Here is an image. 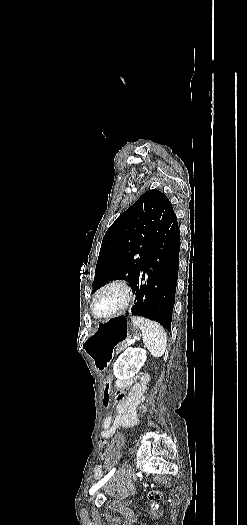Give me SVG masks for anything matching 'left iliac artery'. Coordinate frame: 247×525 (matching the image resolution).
Masks as SVG:
<instances>
[{
    "label": "left iliac artery",
    "instance_id": "left-iliac-artery-1",
    "mask_svg": "<svg viewBox=\"0 0 247 525\" xmlns=\"http://www.w3.org/2000/svg\"><path fill=\"white\" fill-rule=\"evenodd\" d=\"M115 470L116 469L113 468L103 479H101L98 483L93 485L91 489L89 490V494L90 495L94 494L101 486H103L111 478Z\"/></svg>",
    "mask_w": 247,
    "mask_h": 525
}]
</instances>
